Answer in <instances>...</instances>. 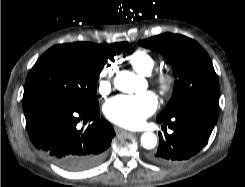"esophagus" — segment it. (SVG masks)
Instances as JSON below:
<instances>
[{"mask_svg":"<svg viewBox=\"0 0 245 187\" xmlns=\"http://www.w3.org/2000/svg\"><path fill=\"white\" fill-rule=\"evenodd\" d=\"M115 131L116 132H121V131H127L126 129H124V128H121V127H115ZM130 132H132V133H136V132H134V131H130Z\"/></svg>","mask_w":245,"mask_h":187,"instance_id":"1","label":"esophagus"}]
</instances>
